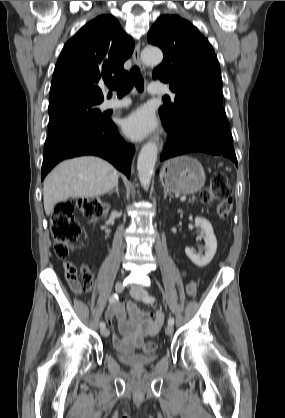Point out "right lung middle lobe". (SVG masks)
Listing matches in <instances>:
<instances>
[{
	"label": "right lung middle lobe",
	"instance_id": "1",
	"mask_svg": "<svg viewBox=\"0 0 285 418\" xmlns=\"http://www.w3.org/2000/svg\"><path fill=\"white\" fill-rule=\"evenodd\" d=\"M98 102L71 101L49 106L48 137L64 129L79 125L103 124L107 121Z\"/></svg>",
	"mask_w": 285,
	"mask_h": 418
}]
</instances>
